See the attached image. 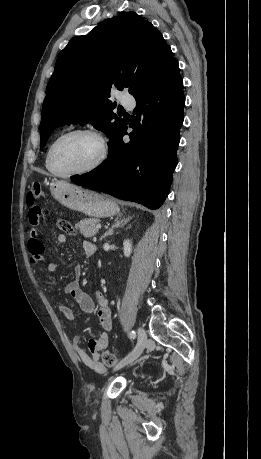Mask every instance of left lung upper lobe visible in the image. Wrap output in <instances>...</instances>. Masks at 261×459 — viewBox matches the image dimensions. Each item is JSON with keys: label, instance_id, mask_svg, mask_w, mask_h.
<instances>
[{"label": "left lung upper lobe", "instance_id": "1", "mask_svg": "<svg viewBox=\"0 0 261 459\" xmlns=\"http://www.w3.org/2000/svg\"><path fill=\"white\" fill-rule=\"evenodd\" d=\"M176 61L162 34L135 12H121L86 36L72 38L59 53L46 89L40 147L67 123L90 122L110 139L124 126L108 99L112 88L136 96Z\"/></svg>", "mask_w": 261, "mask_h": 459}]
</instances>
